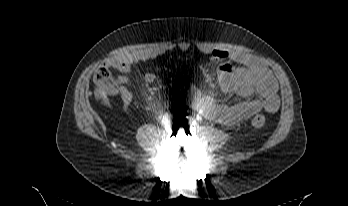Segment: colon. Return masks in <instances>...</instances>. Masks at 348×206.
<instances>
[{
  "label": "colon",
  "instance_id": "colon-1",
  "mask_svg": "<svg viewBox=\"0 0 348 206\" xmlns=\"http://www.w3.org/2000/svg\"><path fill=\"white\" fill-rule=\"evenodd\" d=\"M95 83L99 89L106 94L114 93L119 85L118 78H115L107 67L99 68L95 73ZM266 124V117L256 114L251 119V126L254 129L262 128Z\"/></svg>",
  "mask_w": 348,
  "mask_h": 206
}]
</instances>
